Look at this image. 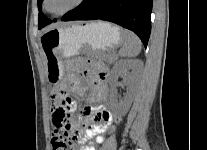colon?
<instances>
[{
    "label": "colon",
    "instance_id": "5ec220e1",
    "mask_svg": "<svg viewBox=\"0 0 207 150\" xmlns=\"http://www.w3.org/2000/svg\"><path fill=\"white\" fill-rule=\"evenodd\" d=\"M53 106L50 110L52 125H55L52 134V150H79L76 144L78 134L71 133L70 99L65 90L54 92L51 96Z\"/></svg>",
    "mask_w": 207,
    "mask_h": 150
}]
</instances>
